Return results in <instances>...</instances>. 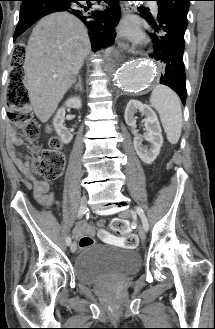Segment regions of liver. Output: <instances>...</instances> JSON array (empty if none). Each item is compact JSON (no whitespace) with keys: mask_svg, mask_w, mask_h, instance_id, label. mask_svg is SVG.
Listing matches in <instances>:
<instances>
[{"mask_svg":"<svg viewBox=\"0 0 215 329\" xmlns=\"http://www.w3.org/2000/svg\"><path fill=\"white\" fill-rule=\"evenodd\" d=\"M90 49L86 27L67 12L48 15L34 27L24 72L31 107L41 122L53 115Z\"/></svg>","mask_w":215,"mask_h":329,"instance_id":"obj_1","label":"liver"}]
</instances>
